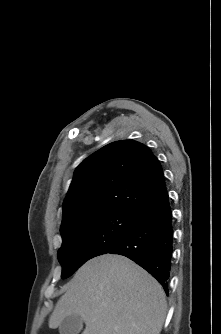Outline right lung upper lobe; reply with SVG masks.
I'll return each instance as SVG.
<instances>
[{
  "instance_id": "1",
  "label": "right lung upper lobe",
  "mask_w": 221,
  "mask_h": 334,
  "mask_svg": "<svg viewBox=\"0 0 221 334\" xmlns=\"http://www.w3.org/2000/svg\"><path fill=\"white\" fill-rule=\"evenodd\" d=\"M164 188L162 167L145 145L131 140L110 143L76 168L63 202L61 235L100 214H137Z\"/></svg>"
}]
</instances>
